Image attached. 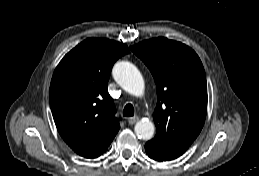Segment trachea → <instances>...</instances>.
<instances>
[{
  "mask_svg": "<svg viewBox=\"0 0 259 176\" xmlns=\"http://www.w3.org/2000/svg\"><path fill=\"white\" fill-rule=\"evenodd\" d=\"M134 115V107L132 104H126L123 110V116L131 117Z\"/></svg>",
  "mask_w": 259,
  "mask_h": 176,
  "instance_id": "1",
  "label": "trachea"
}]
</instances>
